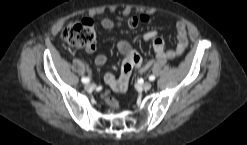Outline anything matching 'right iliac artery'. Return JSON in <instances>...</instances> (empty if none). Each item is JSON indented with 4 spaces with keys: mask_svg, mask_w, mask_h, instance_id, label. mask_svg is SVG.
<instances>
[{
    "mask_svg": "<svg viewBox=\"0 0 247 145\" xmlns=\"http://www.w3.org/2000/svg\"><path fill=\"white\" fill-rule=\"evenodd\" d=\"M81 81H82V83H89V81H90V79L89 78H87V77H83L82 79H81Z\"/></svg>",
    "mask_w": 247,
    "mask_h": 145,
    "instance_id": "right-iliac-artery-1",
    "label": "right iliac artery"
}]
</instances>
